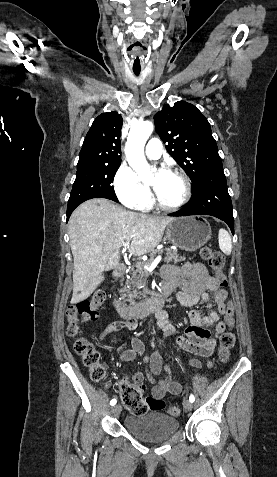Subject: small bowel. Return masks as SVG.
<instances>
[{
    "instance_id": "1",
    "label": "small bowel",
    "mask_w": 277,
    "mask_h": 477,
    "mask_svg": "<svg viewBox=\"0 0 277 477\" xmlns=\"http://www.w3.org/2000/svg\"><path fill=\"white\" fill-rule=\"evenodd\" d=\"M164 278L163 292L176 293L177 300L185 306L195 305L199 299L206 303L205 310L193 309L189 313V326L183 333L172 325L165 312L157 316V324L163 331L165 337H175L178 346L195 355L208 357L216 345V338L212 336L211 328L214 329L215 336L221 335L225 329L223 316L225 314L224 305L228 301V293L222 288L220 282L211 276L201 262L185 263L183 265H166L162 269ZM209 294H212V298ZM213 302L216 309H213ZM234 326V325H233ZM228 326V327H233ZM137 327L135 320L115 321L107 326L101 334L100 339L106 335L119 331L123 328L133 330ZM131 348L123 350L119 358L123 362L132 361L145 352V344L138 337H129ZM117 341L116 343H118ZM143 363L147 367L148 380L152 384L151 396L162 399L164 396L178 395L182 391V385L173 378L172 370L169 366H163L162 357L158 350H154L150 356L143 357ZM190 365L201 368V362L192 358ZM212 362L208 361L207 366L212 367ZM164 371V378L157 380L156 377ZM132 380L134 384L140 385L144 380L141 372H136L126 376L122 382Z\"/></svg>"
}]
</instances>
